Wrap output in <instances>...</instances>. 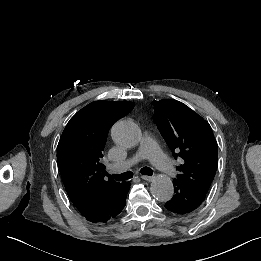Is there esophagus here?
<instances>
[{"instance_id": "1", "label": "esophagus", "mask_w": 261, "mask_h": 261, "mask_svg": "<svg viewBox=\"0 0 261 261\" xmlns=\"http://www.w3.org/2000/svg\"><path fill=\"white\" fill-rule=\"evenodd\" d=\"M141 178L143 180H146V181H149V182H151V181H153L155 179L154 176H147V175H143V176H141Z\"/></svg>"}]
</instances>
